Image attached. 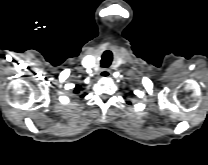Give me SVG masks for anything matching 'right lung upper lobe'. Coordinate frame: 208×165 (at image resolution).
<instances>
[{
	"label": "right lung upper lobe",
	"instance_id": "1",
	"mask_svg": "<svg viewBox=\"0 0 208 165\" xmlns=\"http://www.w3.org/2000/svg\"><path fill=\"white\" fill-rule=\"evenodd\" d=\"M81 89H82V88H81L79 85H77V86L75 87V89H74V93L78 94V93L80 92ZM83 97H84V95H81V98H83Z\"/></svg>",
	"mask_w": 208,
	"mask_h": 165
}]
</instances>
